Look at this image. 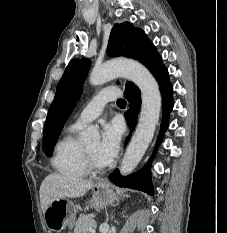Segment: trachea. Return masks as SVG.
Instances as JSON below:
<instances>
[{"label":"trachea","instance_id":"trachea-1","mask_svg":"<svg viewBox=\"0 0 227 233\" xmlns=\"http://www.w3.org/2000/svg\"><path fill=\"white\" fill-rule=\"evenodd\" d=\"M117 105L118 106H126V101L124 99H118L117 100Z\"/></svg>","mask_w":227,"mask_h":233}]
</instances>
